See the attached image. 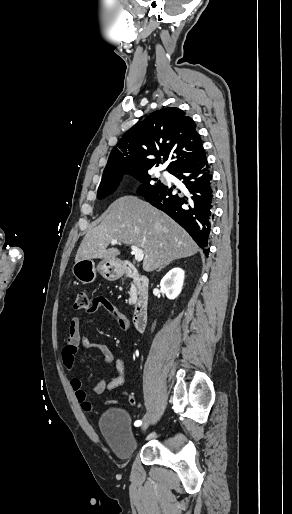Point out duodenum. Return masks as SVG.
Instances as JSON below:
<instances>
[{
    "mask_svg": "<svg viewBox=\"0 0 292 514\" xmlns=\"http://www.w3.org/2000/svg\"><path fill=\"white\" fill-rule=\"evenodd\" d=\"M125 275L132 279L136 294L133 323L137 331L144 329L148 319L149 279L141 274L134 265L127 264Z\"/></svg>",
    "mask_w": 292,
    "mask_h": 514,
    "instance_id": "duodenum-1",
    "label": "duodenum"
}]
</instances>
